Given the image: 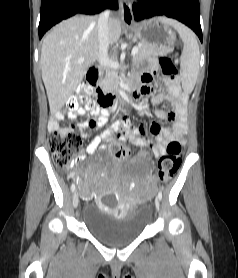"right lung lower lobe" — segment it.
<instances>
[{"label":"right lung lower lobe","mask_w":238,"mask_h":278,"mask_svg":"<svg viewBox=\"0 0 238 278\" xmlns=\"http://www.w3.org/2000/svg\"><path fill=\"white\" fill-rule=\"evenodd\" d=\"M106 8L117 9L118 0H42L39 38L63 19L77 13L97 14Z\"/></svg>","instance_id":"98d812e1"}]
</instances>
